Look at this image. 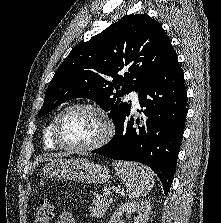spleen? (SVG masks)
Here are the masks:
<instances>
[{"label": "spleen", "instance_id": "obj_1", "mask_svg": "<svg viewBox=\"0 0 221 223\" xmlns=\"http://www.w3.org/2000/svg\"><path fill=\"white\" fill-rule=\"evenodd\" d=\"M130 198H139L150 192L154 184L152 172L138 163L116 161L112 163Z\"/></svg>", "mask_w": 221, "mask_h": 223}]
</instances>
